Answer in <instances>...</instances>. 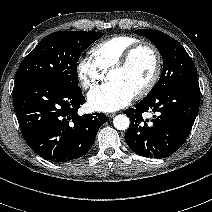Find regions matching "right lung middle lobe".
<instances>
[{
	"mask_svg": "<svg viewBox=\"0 0 212 212\" xmlns=\"http://www.w3.org/2000/svg\"><path fill=\"white\" fill-rule=\"evenodd\" d=\"M101 32L59 31L44 37L21 63L15 83L45 79L80 91L77 62L81 53L97 39Z\"/></svg>",
	"mask_w": 212,
	"mask_h": 212,
	"instance_id": "right-lung-middle-lobe-1",
	"label": "right lung middle lobe"
}]
</instances>
